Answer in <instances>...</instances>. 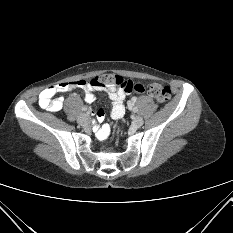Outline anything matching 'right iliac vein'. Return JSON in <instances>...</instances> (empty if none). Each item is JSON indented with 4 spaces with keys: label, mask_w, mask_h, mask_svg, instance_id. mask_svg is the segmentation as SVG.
<instances>
[{
    "label": "right iliac vein",
    "mask_w": 233,
    "mask_h": 233,
    "mask_svg": "<svg viewBox=\"0 0 233 233\" xmlns=\"http://www.w3.org/2000/svg\"><path fill=\"white\" fill-rule=\"evenodd\" d=\"M77 122L82 125V126H85L87 124L90 123V117L87 115V114H81L78 119H77Z\"/></svg>",
    "instance_id": "obj_1"
}]
</instances>
